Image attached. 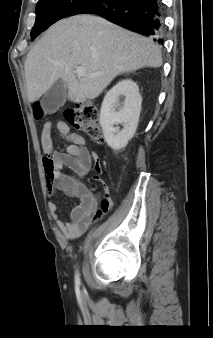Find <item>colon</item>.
Returning <instances> with one entry per match:
<instances>
[{
    "mask_svg": "<svg viewBox=\"0 0 213 338\" xmlns=\"http://www.w3.org/2000/svg\"><path fill=\"white\" fill-rule=\"evenodd\" d=\"M37 120H42L44 115L38 108L35 113ZM65 118L68 123L79 128L93 141H103L102 127L99 121V114L96 107L88 104L87 102H80L66 110ZM47 173L51 178L58 175L57 169L52 162L49 163ZM111 205L107 199H104L97 211V218L100 219L105 216L110 210Z\"/></svg>",
    "mask_w": 213,
    "mask_h": 338,
    "instance_id": "5ec220e1",
    "label": "colon"
}]
</instances>
